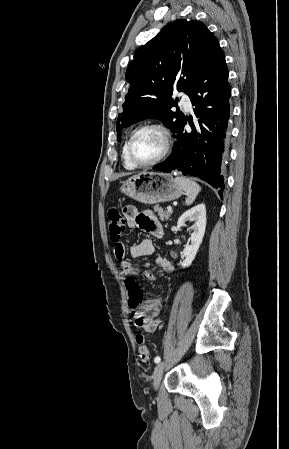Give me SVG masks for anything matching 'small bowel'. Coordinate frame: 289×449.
<instances>
[{"label": "small bowel", "mask_w": 289, "mask_h": 449, "mask_svg": "<svg viewBox=\"0 0 289 449\" xmlns=\"http://www.w3.org/2000/svg\"><path fill=\"white\" fill-rule=\"evenodd\" d=\"M124 214L131 228H140L155 237H161L163 230L158 217L149 210L138 211L133 206L124 208ZM129 253L133 258L148 256L154 253L155 245L151 238L129 247ZM127 248L123 243H117L114 247V256L121 267V275L125 280L134 275H140L146 280H155V274L151 270H138L134 264L126 258ZM155 264L165 272L174 271L173 264L162 255H156ZM161 301L158 298L144 301L136 310L132 311V318L138 328L147 333H153L159 327L161 320L158 318Z\"/></svg>", "instance_id": "small-bowel-1"}]
</instances>
